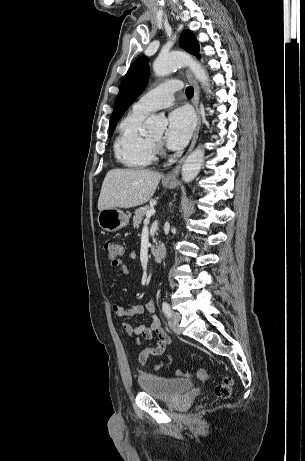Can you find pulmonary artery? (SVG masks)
I'll list each match as a JSON object with an SVG mask.
<instances>
[{"instance_id":"pulmonary-artery-1","label":"pulmonary artery","mask_w":305,"mask_h":461,"mask_svg":"<svg viewBox=\"0 0 305 461\" xmlns=\"http://www.w3.org/2000/svg\"><path fill=\"white\" fill-rule=\"evenodd\" d=\"M178 80H169L142 95L133 105V110L148 114L169 107L174 101V93L181 89Z\"/></svg>"}]
</instances>
